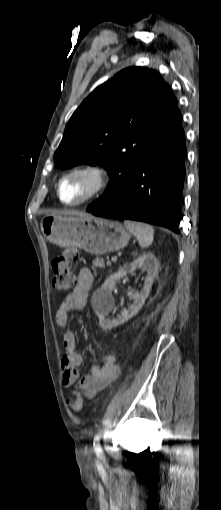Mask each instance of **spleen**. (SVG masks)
<instances>
[{"label": "spleen", "mask_w": 221, "mask_h": 510, "mask_svg": "<svg viewBox=\"0 0 221 510\" xmlns=\"http://www.w3.org/2000/svg\"><path fill=\"white\" fill-rule=\"evenodd\" d=\"M124 226L137 238L141 248H147L152 244L154 238V229L151 225L131 220H125Z\"/></svg>", "instance_id": "spleen-1"}]
</instances>
